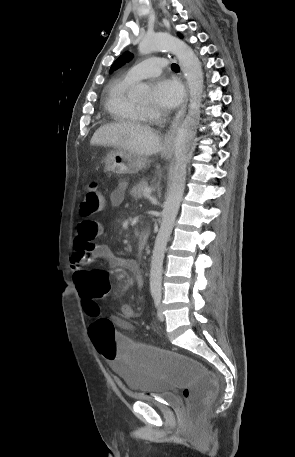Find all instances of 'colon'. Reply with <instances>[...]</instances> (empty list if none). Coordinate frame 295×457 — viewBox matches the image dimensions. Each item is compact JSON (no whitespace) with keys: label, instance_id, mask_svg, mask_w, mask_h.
I'll list each match as a JSON object with an SVG mask.
<instances>
[{"label":"colon","instance_id":"obj_1","mask_svg":"<svg viewBox=\"0 0 295 457\" xmlns=\"http://www.w3.org/2000/svg\"><path fill=\"white\" fill-rule=\"evenodd\" d=\"M105 207L99 184L89 182L80 204V214L89 217ZM109 293L110 274L100 269L88 271L81 296L87 314L96 318L90 327L95 354L103 355V360H112L113 363L127 362L128 366H139L140 372H160V378H165L166 383H176V390H183L187 418L195 421L217 390V374L204 369V363L182 357L181 351H165L164 346H136L135 341H129L126 330H115L110 319L99 317L96 301Z\"/></svg>","mask_w":295,"mask_h":457}]
</instances>
